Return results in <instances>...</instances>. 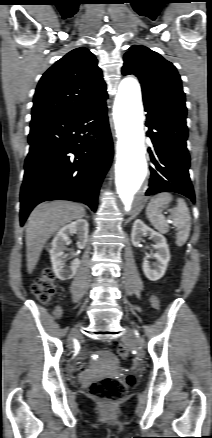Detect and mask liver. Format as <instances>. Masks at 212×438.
I'll list each match as a JSON object with an SVG mask.
<instances>
[{
  "instance_id": "6515ba94",
  "label": "liver",
  "mask_w": 212,
  "mask_h": 438,
  "mask_svg": "<svg viewBox=\"0 0 212 438\" xmlns=\"http://www.w3.org/2000/svg\"><path fill=\"white\" fill-rule=\"evenodd\" d=\"M85 209L73 202L53 201L39 204L31 212L26 228L27 271L34 270L44 245L62 226L85 216Z\"/></svg>"
}]
</instances>
